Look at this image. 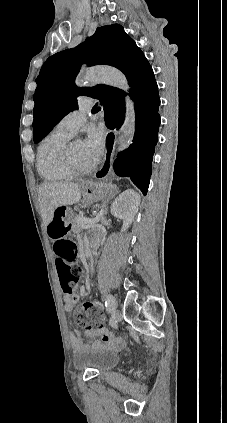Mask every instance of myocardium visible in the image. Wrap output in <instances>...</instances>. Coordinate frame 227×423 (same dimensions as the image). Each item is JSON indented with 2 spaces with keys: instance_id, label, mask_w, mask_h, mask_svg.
<instances>
[{
  "instance_id": "1",
  "label": "myocardium",
  "mask_w": 227,
  "mask_h": 423,
  "mask_svg": "<svg viewBox=\"0 0 227 423\" xmlns=\"http://www.w3.org/2000/svg\"><path fill=\"white\" fill-rule=\"evenodd\" d=\"M75 141H71L66 144L63 153V163L65 166L66 171L70 176H81L90 173L93 170L92 166L86 167V168H79L76 166L73 155H72V146Z\"/></svg>"
}]
</instances>
